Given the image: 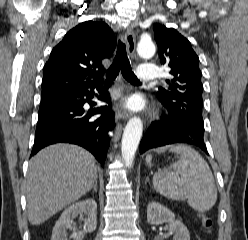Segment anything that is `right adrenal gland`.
I'll return each mask as SVG.
<instances>
[{
    "instance_id": "right-adrenal-gland-1",
    "label": "right adrenal gland",
    "mask_w": 248,
    "mask_h": 240,
    "mask_svg": "<svg viewBox=\"0 0 248 240\" xmlns=\"http://www.w3.org/2000/svg\"><path fill=\"white\" fill-rule=\"evenodd\" d=\"M92 189H93L94 192H97V181H95Z\"/></svg>"
}]
</instances>
